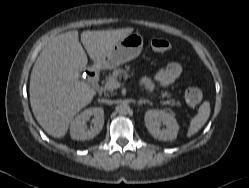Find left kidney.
Returning a JSON list of instances; mask_svg holds the SVG:
<instances>
[{
	"instance_id": "5707ae66",
	"label": "left kidney",
	"mask_w": 249,
	"mask_h": 188,
	"mask_svg": "<svg viewBox=\"0 0 249 188\" xmlns=\"http://www.w3.org/2000/svg\"><path fill=\"white\" fill-rule=\"evenodd\" d=\"M145 125L149 133L159 140L171 141L176 139L179 126L174 115L164 110H148L145 113ZM161 124L165 129H160Z\"/></svg>"
}]
</instances>
